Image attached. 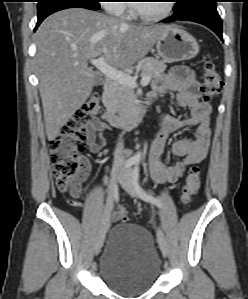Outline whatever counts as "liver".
Wrapping results in <instances>:
<instances>
[{
  "instance_id": "1",
  "label": "liver",
  "mask_w": 248,
  "mask_h": 299,
  "mask_svg": "<svg viewBox=\"0 0 248 299\" xmlns=\"http://www.w3.org/2000/svg\"><path fill=\"white\" fill-rule=\"evenodd\" d=\"M164 25L135 26L84 8L50 15L36 32V70L46 135L52 141L85 103L94 86L88 60L98 56L113 68L144 58Z\"/></svg>"
}]
</instances>
